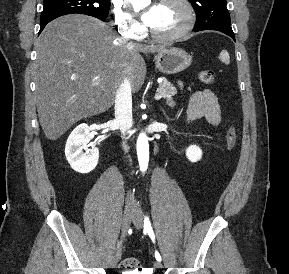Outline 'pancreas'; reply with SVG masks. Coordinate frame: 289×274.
Here are the masks:
<instances>
[{
	"label": "pancreas",
	"mask_w": 289,
	"mask_h": 274,
	"mask_svg": "<svg viewBox=\"0 0 289 274\" xmlns=\"http://www.w3.org/2000/svg\"><path fill=\"white\" fill-rule=\"evenodd\" d=\"M157 92L163 98L170 100L177 93V90L167 79H163L162 83L159 84Z\"/></svg>",
	"instance_id": "cf45deb5"
}]
</instances>
